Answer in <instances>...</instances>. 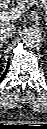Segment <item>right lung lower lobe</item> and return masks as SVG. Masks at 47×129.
<instances>
[{
	"mask_svg": "<svg viewBox=\"0 0 47 129\" xmlns=\"http://www.w3.org/2000/svg\"><path fill=\"white\" fill-rule=\"evenodd\" d=\"M8 66H9V64H8ZM7 71H8V67H7L6 71L4 72V74L0 77V82L4 79Z\"/></svg>",
	"mask_w": 47,
	"mask_h": 129,
	"instance_id": "1",
	"label": "right lung lower lobe"
}]
</instances>
